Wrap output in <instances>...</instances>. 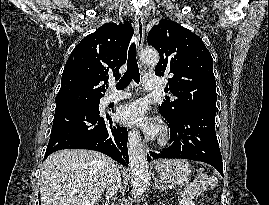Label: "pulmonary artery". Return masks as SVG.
<instances>
[{"instance_id":"pulmonary-artery-1","label":"pulmonary artery","mask_w":269,"mask_h":205,"mask_svg":"<svg viewBox=\"0 0 269 205\" xmlns=\"http://www.w3.org/2000/svg\"><path fill=\"white\" fill-rule=\"evenodd\" d=\"M142 84L146 89H156L160 87V79L155 76L145 75L142 78ZM131 97V93L129 92H119L116 91L115 87H112V91H110L103 99V105H107L114 101H120Z\"/></svg>"}]
</instances>
